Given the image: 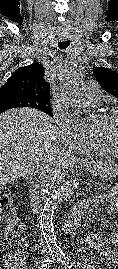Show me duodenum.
Instances as JSON below:
<instances>
[{
	"label": "duodenum",
	"mask_w": 118,
	"mask_h": 269,
	"mask_svg": "<svg viewBox=\"0 0 118 269\" xmlns=\"http://www.w3.org/2000/svg\"><path fill=\"white\" fill-rule=\"evenodd\" d=\"M80 220H81V213L77 212L72 219L63 222L62 228L64 232L72 233L73 231H75L77 226L79 225Z\"/></svg>",
	"instance_id": "obj_1"
}]
</instances>
